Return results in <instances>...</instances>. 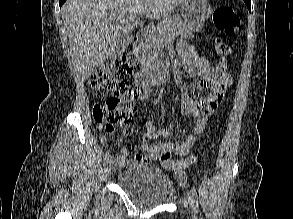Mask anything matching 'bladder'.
Returning a JSON list of instances; mask_svg holds the SVG:
<instances>
[{
	"label": "bladder",
	"instance_id": "31cf9c89",
	"mask_svg": "<svg viewBox=\"0 0 293 219\" xmlns=\"http://www.w3.org/2000/svg\"><path fill=\"white\" fill-rule=\"evenodd\" d=\"M120 188L138 205L157 207L173 202L177 190L169 177L153 165H135L117 176Z\"/></svg>",
	"mask_w": 293,
	"mask_h": 219
}]
</instances>
